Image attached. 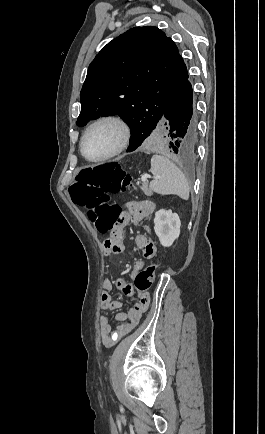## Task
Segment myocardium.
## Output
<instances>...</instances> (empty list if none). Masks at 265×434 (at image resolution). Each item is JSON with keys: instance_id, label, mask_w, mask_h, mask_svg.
Listing matches in <instances>:
<instances>
[{"instance_id": "f54148a6", "label": "myocardium", "mask_w": 265, "mask_h": 434, "mask_svg": "<svg viewBox=\"0 0 265 434\" xmlns=\"http://www.w3.org/2000/svg\"><path fill=\"white\" fill-rule=\"evenodd\" d=\"M104 123L113 124L119 129V133H120L119 142L117 146L106 156L97 159L88 158L83 152L84 140L90 131H92L94 128ZM130 139H131V127L129 123L126 121V119L117 114H105L96 118L86 127V129L84 130L80 138L78 150L81 157L87 162L93 164H101L111 160L112 158L116 157L121 152H123L128 147Z\"/></svg>"}]
</instances>
